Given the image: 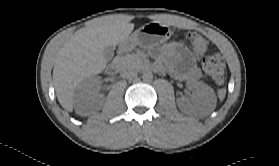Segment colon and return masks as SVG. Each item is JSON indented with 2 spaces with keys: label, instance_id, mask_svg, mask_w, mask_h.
<instances>
[{
  "label": "colon",
  "instance_id": "colon-1",
  "mask_svg": "<svg viewBox=\"0 0 279 166\" xmlns=\"http://www.w3.org/2000/svg\"><path fill=\"white\" fill-rule=\"evenodd\" d=\"M191 49L201 55L206 49V40L197 33H189L186 36ZM202 67L209 77L217 84L222 85L226 78V67L222 56L219 54L201 57Z\"/></svg>",
  "mask_w": 279,
  "mask_h": 166
}]
</instances>
